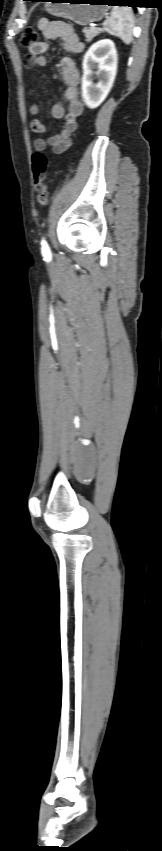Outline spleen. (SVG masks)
Listing matches in <instances>:
<instances>
[{
    "mask_svg": "<svg viewBox=\"0 0 162 851\" xmlns=\"http://www.w3.org/2000/svg\"><path fill=\"white\" fill-rule=\"evenodd\" d=\"M104 30L111 35L119 37L125 44L132 41L134 17L132 9L128 7H113L111 16L104 22Z\"/></svg>",
    "mask_w": 162,
    "mask_h": 851,
    "instance_id": "1",
    "label": "spleen"
}]
</instances>
